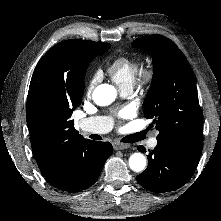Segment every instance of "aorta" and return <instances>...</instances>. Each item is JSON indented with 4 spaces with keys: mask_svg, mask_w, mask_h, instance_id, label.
<instances>
[{
    "mask_svg": "<svg viewBox=\"0 0 221 221\" xmlns=\"http://www.w3.org/2000/svg\"><path fill=\"white\" fill-rule=\"evenodd\" d=\"M117 91L114 86L101 84L93 92V100L99 106L110 105L116 98ZM129 167L134 172H141L146 167V158L142 153H133L129 158Z\"/></svg>",
    "mask_w": 221,
    "mask_h": 221,
    "instance_id": "762f6f07",
    "label": "aorta"
}]
</instances>
